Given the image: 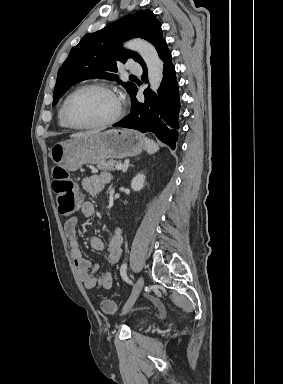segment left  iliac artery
Here are the masks:
<instances>
[{
    "instance_id": "left-iliac-artery-1",
    "label": "left iliac artery",
    "mask_w": 283,
    "mask_h": 384,
    "mask_svg": "<svg viewBox=\"0 0 283 384\" xmlns=\"http://www.w3.org/2000/svg\"><path fill=\"white\" fill-rule=\"evenodd\" d=\"M120 274H121V277L123 278V280H125L126 282L132 284V282L129 280L128 276H127V264H123L120 268Z\"/></svg>"
}]
</instances>
